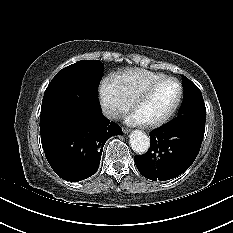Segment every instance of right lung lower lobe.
<instances>
[{"label": "right lung lower lobe", "mask_w": 233, "mask_h": 233, "mask_svg": "<svg viewBox=\"0 0 233 233\" xmlns=\"http://www.w3.org/2000/svg\"><path fill=\"white\" fill-rule=\"evenodd\" d=\"M76 122H60L40 130L47 161L64 180L80 181L92 176L99 167L105 142L121 127L101 112L99 102H82Z\"/></svg>", "instance_id": "obj_1"}]
</instances>
